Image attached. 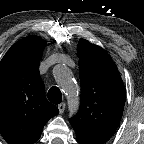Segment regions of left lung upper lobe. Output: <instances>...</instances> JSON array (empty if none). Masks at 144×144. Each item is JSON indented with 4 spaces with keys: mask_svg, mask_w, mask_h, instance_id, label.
I'll list each match as a JSON object with an SVG mask.
<instances>
[{
    "mask_svg": "<svg viewBox=\"0 0 144 144\" xmlns=\"http://www.w3.org/2000/svg\"><path fill=\"white\" fill-rule=\"evenodd\" d=\"M80 110L69 121L80 144H105L116 132L125 105V87L117 66L100 46L80 39Z\"/></svg>",
    "mask_w": 144,
    "mask_h": 144,
    "instance_id": "5c2ea615",
    "label": "left lung upper lobe"
}]
</instances>
